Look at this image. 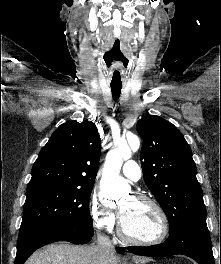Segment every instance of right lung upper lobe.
Returning <instances> with one entry per match:
<instances>
[{
    "label": "right lung upper lobe",
    "mask_w": 221,
    "mask_h": 264,
    "mask_svg": "<svg viewBox=\"0 0 221 264\" xmlns=\"http://www.w3.org/2000/svg\"><path fill=\"white\" fill-rule=\"evenodd\" d=\"M100 154L101 140L94 123H64L41 149L27 190L49 185L93 187Z\"/></svg>",
    "instance_id": "1"
}]
</instances>
